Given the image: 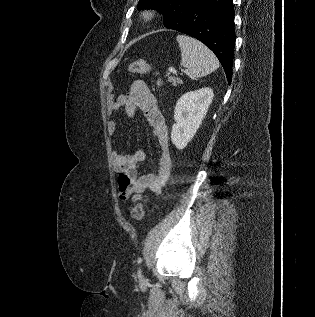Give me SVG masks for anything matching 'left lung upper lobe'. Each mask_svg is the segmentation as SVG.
I'll return each mask as SVG.
<instances>
[{"mask_svg": "<svg viewBox=\"0 0 315 317\" xmlns=\"http://www.w3.org/2000/svg\"><path fill=\"white\" fill-rule=\"evenodd\" d=\"M195 0H139L138 9H156L163 13L167 28L177 24Z\"/></svg>", "mask_w": 315, "mask_h": 317, "instance_id": "5c2ea615", "label": "left lung upper lobe"}]
</instances>
